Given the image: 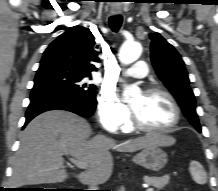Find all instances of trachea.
I'll use <instances>...</instances> for the list:
<instances>
[{"label": "trachea", "instance_id": "trachea-1", "mask_svg": "<svg viewBox=\"0 0 218 191\" xmlns=\"http://www.w3.org/2000/svg\"><path fill=\"white\" fill-rule=\"evenodd\" d=\"M122 25V16L115 15L109 18V26L114 32H118Z\"/></svg>", "mask_w": 218, "mask_h": 191}]
</instances>
